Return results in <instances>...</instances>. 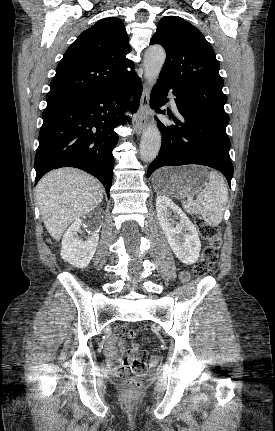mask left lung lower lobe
<instances>
[{"label": "left lung lower lobe", "instance_id": "left-lung-lower-lobe-1", "mask_svg": "<svg viewBox=\"0 0 275 431\" xmlns=\"http://www.w3.org/2000/svg\"><path fill=\"white\" fill-rule=\"evenodd\" d=\"M173 89L170 83L159 78L152 91L151 104L159 108L168 99L167 92ZM179 117L167 112L172 125L158 121L162 133L161 149L147 170L149 177L163 166L200 164L219 170L231 186L233 165L229 156L230 140L226 134L227 120L210 116L183 101L173 90ZM166 114L165 110H158Z\"/></svg>", "mask_w": 275, "mask_h": 431}]
</instances>
